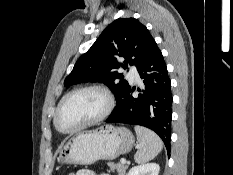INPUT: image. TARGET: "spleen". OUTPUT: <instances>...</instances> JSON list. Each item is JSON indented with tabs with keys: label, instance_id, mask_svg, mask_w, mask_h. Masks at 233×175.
<instances>
[{
	"label": "spleen",
	"instance_id": "spleen-1",
	"mask_svg": "<svg viewBox=\"0 0 233 175\" xmlns=\"http://www.w3.org/2000/svg\"><path fill=\"white\" fill-rule=\"evenodd\" d=\"M134 129L140 144L134 159L136 163L142 164L152 160L161 152L163 142L155 132L145 127L135 126Z\"/></svg>",
	"mask_w": 233,
	"mask_h": 175
}]
</instances>
